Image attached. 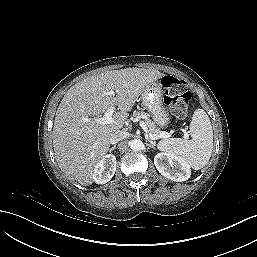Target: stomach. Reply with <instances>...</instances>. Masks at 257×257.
<instances>
[{
    "label": "stomach",
    "mask_w": 257,
    "mask_h": 257,
    "mask_svg": "<svg viewBox=\"0 0 257 257\" xmlns=\"http://www.w3.org/2000/svg\"><path fill=\"white\" fill-rule=\"evenodd\" d=\"M143 107L151 114L153 122L160 128L170 123L169 113L163 103V90L158 82L150 83L141 93Z\"/></svg>",
    "instance_id": "stomach-1"
}]
</instances>
